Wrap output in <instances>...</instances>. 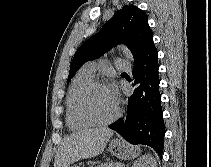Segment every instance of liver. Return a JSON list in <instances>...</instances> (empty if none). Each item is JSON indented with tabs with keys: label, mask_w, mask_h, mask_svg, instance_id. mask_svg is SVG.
I'll return each instance as SVG.
<instances>
[{
	"label": "liver",
	"mask_w": 211,
	"mask_h": 167,
	"mask_svg": "<svg viewBox=\"0 0 211 167\" xmlns=\"http://www.w3.org/2000/svg\"><path fill=\"white\" fill-rule=\"evenodd\" d=\"M113 135L109 128H90L70 134L61 143L55 156L54 167H69L81 159L101 154Z\"/></svg>",
	"instance_id": "1"
}]
</instances>
